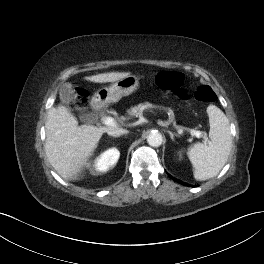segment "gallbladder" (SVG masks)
<instances>
[{
	"label": "gallbladder",
	"mask_w": 264,
	"mask_h": 264,
	"mask_svg": "<svg viewBox=\"0 0 264 264\" xmlns=\"http://www.w3.org/2000/svg\"><path fill=\"white\" fill-rule=\"evenodd\" d=\"M60 100L63 103L69 104L73 100V91L69 84H63L59 90ZM81 121L84 123H93L94 115L93 114H84L80 117Z\"/></svg>",
	"instance_id": "obj_1"
}]
</instances>
